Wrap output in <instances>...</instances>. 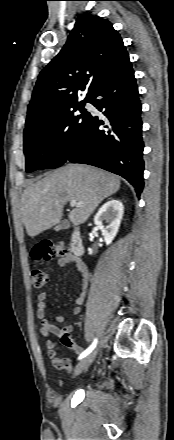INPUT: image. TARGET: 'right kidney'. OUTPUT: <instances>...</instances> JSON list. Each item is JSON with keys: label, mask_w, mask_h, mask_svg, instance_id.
Returning a JSON list of instances; mask_svg holds the SVG:
<instances>
[{"label": "right kidney", "mask_w": 174, "mask_h": 440, "mask_svg": "<svg viewBox=\"0 0 174 440\" xmlns=\"http://www.w3.org/2000/svg\"><path fill=\"white\" fill-rule=\"evenodd\" d=\"M124 213L121 201L112 199L106 202L94 217L95 225L101 230L107 245L111 244L120 227ZM103 221L108 223L104 226Z\"/></svg>", "instance_id": "ca27d5eb"}]
</instances>
